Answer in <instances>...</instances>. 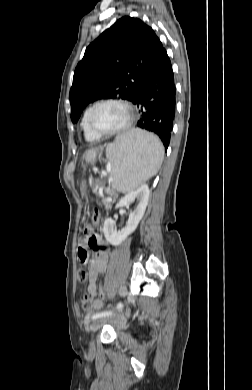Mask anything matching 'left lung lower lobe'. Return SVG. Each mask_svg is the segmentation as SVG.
Wrapping results in <instances>:
<instances>
[{"instance_id":"0a47b994","label":"left lung lower lobe","mask_w":252,"mask_h":390,"mask_svg":"<svg viewBox=\"0 0 252 390\" xmlns=\"http://www.w3.org/2000/svg\"><path fill=\"white\" fill-rule=\"evenodd\" d=\"M133 104L141 113L137 126L157 134L167 150L175 116L176 88L164 48L141 78Z\"/></svg>"}]
</instances>
